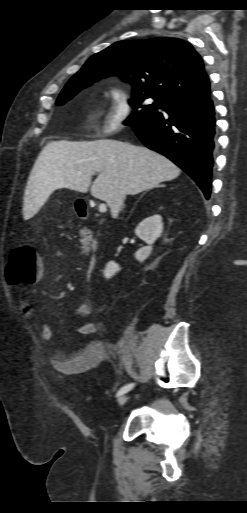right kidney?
Instances as JSON below:
<instances>
[{
	"instance_id": "ca27d5eb",
	"label": "right kidney",
	"mask_w": 247,
	"mask_h": 513,
	"mask_svg": "<svg viewBox=\"0 0 247 513\" xmlns=\"http://www.w3.org/2000/svg\"><path fill=\"white\" fill-rule=\"evenodd\" d=\"M163 231V222H162V216L159 214H155L151 217H148L144 219L142 222L138 224V226L135 229V234L144 242L148 244V246H145L141 249H139L135 253V257L139 261H143L146 259L151 251H152V245L154 242L161 236V233ZM119 266L113 261H110L104 271V276L108 279L111 278L116 272L119 271Z\"/></svg>"
}]
</instances>
